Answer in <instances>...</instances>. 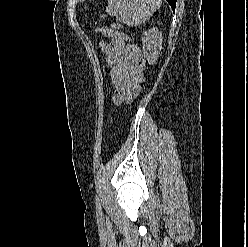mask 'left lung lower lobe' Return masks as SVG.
Returning a JSON list of instances; mask_svg holds the SVG:
<instances>
[{"label": "left lung lower lobe", "mask_w": 248, "mask_h": 247, "mask_svg": "<svg viewBox=\"0 0 248 247\" xmlns=\"http://www.w3.org/2000/svg\"><path fill=\"white\" fill-rule=\"evenodd\" d=\"M176 1H177V0H167V2L171 5L173 11L175 10Z\"/></svg>", "instance_id": "left-lung-lower-lobe-1"}]
</instances>
